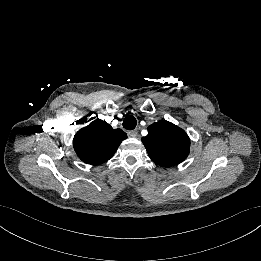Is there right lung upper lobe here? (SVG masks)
Returning a JSON list of instances; mask_svg holds the SVG:
<instances>
[{
  "label": "right lung upper lobe",
  "instance_id": "cb5924a9",
  "mask_svg": "<svg viewBox=\"0 0 261 261\" xmlns=\"http://www.w3.org/2000/svg\"><path fill=\"white\" fill-rule=\"evenodd\" d=\"M126 138L122 130L113 129L105 121L96 119L75 134L73 147L83 162L98 165L112 158Z\"/></svg>",
  "mask_w": 261,
  "mask_h": 261
}]
</instances>
